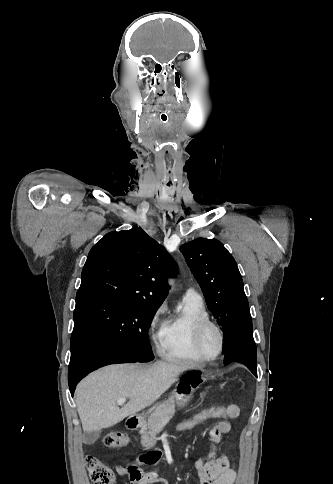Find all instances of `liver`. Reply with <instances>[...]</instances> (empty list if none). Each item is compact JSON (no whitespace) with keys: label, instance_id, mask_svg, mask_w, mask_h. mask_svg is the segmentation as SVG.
Returning a JSON list of instances; mask_svg holds the SVG:
<instances>
[{"label":"liver","instance_id":"6515ba94","mask_svg":"<svg viewBox=\"0 0 333 484\" xmlns=\"http://www.w3.org/2000/svg\"><path fill=\"white\" fill-rule=\"evenodd\" d=\"M187 365L157 360L101 368L77 386L75 400L85 433L111 427L152 405L188 370ZM129 398L121 409L117 400Z\"/></svg>","mask_w":333,"mask_h":484}]
</instances>
